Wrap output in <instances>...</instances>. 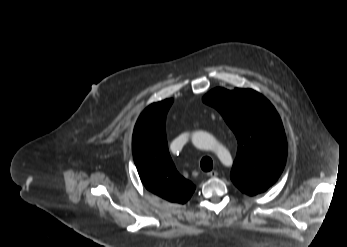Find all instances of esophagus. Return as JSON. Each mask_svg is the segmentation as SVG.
<instances>
[{"label":"esophagus","instance_id":"34e87169","mask_svg":"<svg viewBox=\"0 0 347 247\" xmlns=\"http://www.w3.org/2000/svg\"><path fill=\"white\" fill-rule=\"evenodd\" d=\"M218 175L217 171L212 170L210 172L207 173L208 177H216Z\"/></svg>","mask_w":347,"mask_h":247}]
</instances>
